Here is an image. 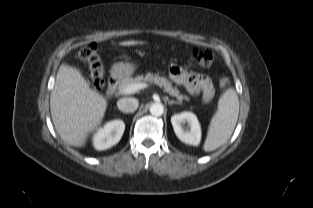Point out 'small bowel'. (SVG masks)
Here are the masks:
<instances>
[{
	"label": "small bowel",
	"instance_id": "obj_1",
	"mask_svg": "<svg viewBox=\"0 0 313 208\" xmlns=\"http://www.w3.org/2000/svg\"><path fill=\"white\" fill-rule=\"evenodd\" d=\"M169 73L172 80L184 86L188 93L192 95L201 93L205 101H210L213 98L214 87L208 76L188 71L176 64L170 66Z\"/></svg>",
	"mask_w": 313,
	"mask_h": 208
}]
</instances>
